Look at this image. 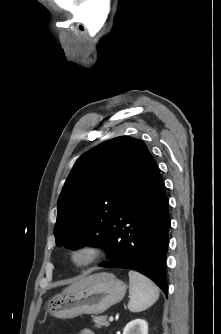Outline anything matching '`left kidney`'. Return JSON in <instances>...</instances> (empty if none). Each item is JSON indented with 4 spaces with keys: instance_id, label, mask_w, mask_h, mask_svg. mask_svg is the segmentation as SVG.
I'll use <instances>...</instances> for the list:
<instances>
[{
    "instance_id": "obj_1",
    "label": "left kidney",
    "mask_w": 221,
    "mask_h": 334,
    "mask_svg": "<svg viewBox=\"0 0 221 334\" xmlns=\"http://www.w3.org/2000/svg\"><path fill=\"white\" fill-rule=\"evenodd\" d=\"M123 334H148V323L144 319L130 321L125 326Z\"/></svg>"
}]
</instances>
